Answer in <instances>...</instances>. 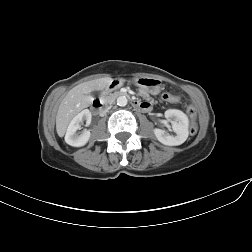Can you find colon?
<instances>
[{"instance_id":"5ec220e1","label":"colon","mask_w":252,"mask_h":252,"mask_svg":"<svg viewBox=\"0 0 252 252\" xmlns=\"http://www.w3.org/2000/svg\"><path fill=\"white\" fill-rule=\"evenodd\" d=\"M162 98L165 101H168V102H171V103H176V102L179 101L178 96H175V95H172V94H169V93H164L162 95ZM187 113H188L189 117L191 118L190 133L195 134L196 131H197V124L195 122V118H196V115H197V108L194 105L190 104L187 107Z\"/></svg>"}]
</instances>
